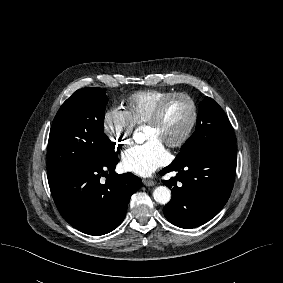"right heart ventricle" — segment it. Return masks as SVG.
Instances as JSON below:
<instances>
[{
	"label": "right heart ventricle",
	"mask_w": 283,
	"mask_h": 283,
	"mask_svg": "<svg viewBox=\"0 0 283 283\" xmlns=\"http://www.w3.org/2000/svg\"><path fill=\"white\" fill-rule=\"evenodd\" d=\"M171 92L148 89L135 92L125 100L126 112L134 125L146 123L157 104Z\"/></svg>",
	"instance_id": "right-heart-ventricle-1"
}]
</instances>
